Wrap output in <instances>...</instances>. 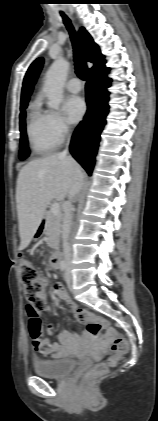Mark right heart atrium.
<instances>
[{
    "mask_svg": "<svg viewBox=\"0 0 158 421\" xmlns=\"http://www.w3.org/2000/svg\"><path fill=\"white\" fill-rule=\"evenodd\" d=\"M49 132L56 143H60L70 133L71 128L67 120L57 112H48Z\"/></svg>",
    "mask_w": 158,
    "mask_h": 421,
    "instance_id": "obj_1",
    "label": "right heart atrium"
}]
</instances>
